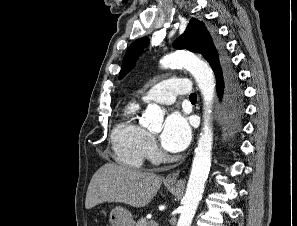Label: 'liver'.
I'll use <instances>...</instances> for the list:
<instances>
[{"mask_svg": "<svg viewBox=\"0 0 297 226\" xmlns=\"http://www.w3.org/2000/svg\"><path fill=\"white\" fill-rule=\"evenodd\" d=\"M163 178L154 173L106 163L93 175L88 186L85 208L104 202L145 207L153 199Z\"/></svg>", "mask_w": 297, "mask_h": 226, "instance_id": "1", "label": "liver"}]
</instances>
